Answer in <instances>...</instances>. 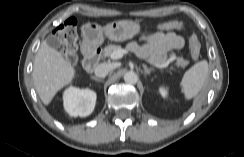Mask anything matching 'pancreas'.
Returning a JSON list of instances; mask_svg holds the SVG:
<instances>
[{"label":"pancreas","instance_id":"1","mask_svg":"<svg viewBox=\"0 0 244 157\" xmlns=\"http://www.w3.org/2000/svg\"><path fill=\"white\" fill-rule=\"evenodd\" d=\"M118 49H122V47L120 45L110 44L104 48L103 54H104V56L110 57V55ZM173 57H174V55L171 56V58H173ZM148 61L161 65V64H164L167 62V55L152 52L148 56ZM188 64H189V61L183 59L182 57H179L177 59L178 66L185 67Z\"/></svg>","mask_w":244,"mask_h":157}]
</instances>
